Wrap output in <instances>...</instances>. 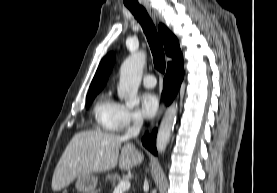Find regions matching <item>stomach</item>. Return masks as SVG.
I'll use <instances>...</instances> for the list:
<instances>
[{"label":"stomach","instance_id":"0dacf381","mask_svg":"<svg viewBox=\"0 0 277 193\" xmlns=\"http://www.w3.org/2000/svg\"><path fill=\"white\" fill-rule=\"evenodd\" d=\"M98 178L94 173L84 174L77 177L76 189L80 193H93L97 186Z\"/></svg>","mask_w":277,"mask_h":193}]
</instances>
